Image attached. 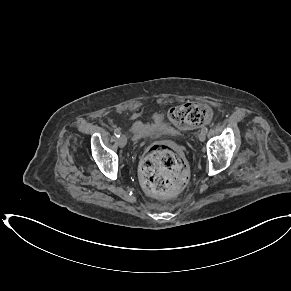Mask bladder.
Here are the masks:
<instances>
[{"label": "bladder", "mask_w": 291, "mask_h": 291, "mask_svg": "<svg viewBox=\"0 0 291 291\" xmlns=\"http://www.w3.org/2000/svg\"><path fill=\"white\" fill-rule=\"evenodd\" d=\"M157 132L173 133L174 129L159 115L152 116L149 122L134 121L131 124V133L138 139H144Z\"/></svg>", "instance_id": "31cf9c89"}]
</instances>
